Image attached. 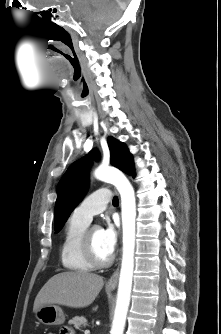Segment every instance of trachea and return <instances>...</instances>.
<instances>
[{
  "label": "trachea",
  "instance_id": "trachea-1",
  "mask_svg": "<svg viewBox=\"0 0 221 334\" xmlns=\"http://www.w3.org/2000/svg\"><path fill=\"white\" fill-rule=\"evenodd\" d=\"M113 204H118V197L115 196V197L113 198Z\"/></svg>",
  "mask_w": 221,
  "mask_h": 334
}]
</instances>
